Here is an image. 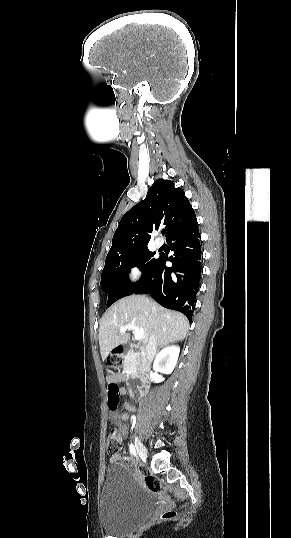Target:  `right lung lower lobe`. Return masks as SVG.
Wrapping results in <instances>:
<instances>
[{
  "label": "right lung lower lobe",
  "instance_id": "obj_1",
  "mask_svg": "<svg viewBox=\"0 0 291 538\" xmlns=\"http://www.w3.org/2000/svg\"><path fill=\"white\" fill-rule=\"evenodd\" d=\"M197 221L171 235L167 242L174 257L160 256L135 294H150L163 307L192 318L202 274L201 245ZM172 267H166V261Z\"/></svg>",
  "mask_w": 291,
  "mask_h": 538
}]
</instances>
